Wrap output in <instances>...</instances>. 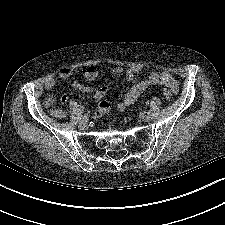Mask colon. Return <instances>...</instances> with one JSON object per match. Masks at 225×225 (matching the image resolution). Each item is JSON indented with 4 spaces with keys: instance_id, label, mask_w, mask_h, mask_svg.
<instances>
[{
    "instance_id": "colon-1",
    "label": "colon",
    "mask_w": 225,
    "mask_h": 225,
    "mask_svg": "<svg viewBox=\"0 0 225 225\" xmlns=\"http://www.w3.org/2000/svg\"><path fill=\"white\" fill-rule=\"evenodd\" d=\"M162 93H163V96L166 100H169L172 96L171 91L169 89H166V88L163 89ZM61 113H62V115L64 114L63 112H61Z\"/></svg>"
}]
</instances>
